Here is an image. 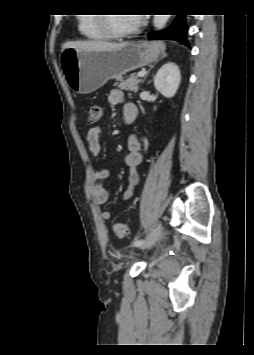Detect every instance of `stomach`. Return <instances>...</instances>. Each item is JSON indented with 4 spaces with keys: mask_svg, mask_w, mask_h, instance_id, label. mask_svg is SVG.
Wrapping results in <instances>:
<instances>
[{
    "mask_svg": "<svg viewBox=\"0 0 254 355\" xmlns=\"http://www.w3.org/2000/svg\"><path fill=\"white\" fill-rule=\"evenodd\" d=\"M164 51L165 44L160 41L127 42L119 48L98 51L66 48L61 52L60 64L70 88L89 94L112 78L156 61Z\"/></svg>",
    "mask_w": 254,
    "mask_h": 355,
    "instance_id": "0dacf381",
    "label": "stomach"
}]
</instances>
